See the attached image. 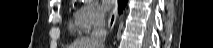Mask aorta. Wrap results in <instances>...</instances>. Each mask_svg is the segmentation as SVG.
Here are the masks:
<instances>
[{
    "label": "aorta",
    "instance_id": "aorta-1",
    "mask_svg": "<svg viewBox=\"0 0 213 48\" xmlns=\"http://www.w3.org/2000/svg\"><path fill=\"white\" fill-rule=\"evenodd\" d=\"M85 2H88V1H90V0H84Z\"/></svg>",
    "mask_w": 213,
    "mask_h": 48
}]
</instances>
